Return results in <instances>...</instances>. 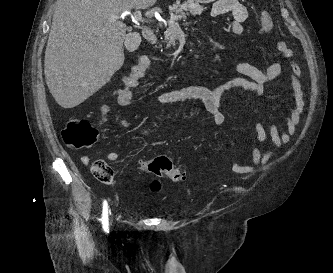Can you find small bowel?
Returning <instances> with one entry per match:
<instances>
[{"label": "small bowel", "instance_id": "small-bowel-1", "mask_svg": "<svg viewBox=\"0 0 333 273\" xmlns=\"http://www.w3.org/2000/svg\"><path fill=\"white\" fill-rule=\"evenodd\" d=\"M213 17H221L225 14H231L232 20L227 26V33L230 37L241 35L245 31L244 23L248 19V10L240 0H217L211 9ZM277 51L288 61L290 81V90L292 94V105L285 118V127L282 132L279 131L275 123H270L268 134L273 142L274 149L262 154L257 147L252 149L253 165L244 166L240 162H229L224 164V168H231L242 173L254 172L268 162L283 145L287 144L299 125L301 115L304 110L303 91L300 83L302 75L301 68L294 61V51L285 41L276 43ZM147 58H141V60ZM134 62L128 76L125 78V84L115 93L117 104L121 107L130 106L132 103V91L137 90V84L140 77H145L147 69H150V62ZM233 66L238 73L213 89L201 86H187L176 90L165 91L157 94L154 101L158 104L173 105L182 103L187 100H199L203 103L206 111L211 115L212 122L215 125H221L225 121V116L221 111L222 96L230 89H240L245 92L263 96L265 93L264 86L275 80L282 72V64L274 62L266 69H261L251 63L239 60L233 57ZM109 103H102L101 111L97 113L98 123H107L108 117H113V112H108ZM108 112V113H107ZM120 127H130V122L124 119L118 121ZM254 129L257 135V141L263 142L267 138V131L264 125L256 121ZM142 134L147 135V131L142 129ZM119 154L111 151L107 154V160L116 162ZM81 162L89 165L91 159L88 156H82Z\"/></svg>", "mask_w": 333, "mask_h": 273}]
</instances>
